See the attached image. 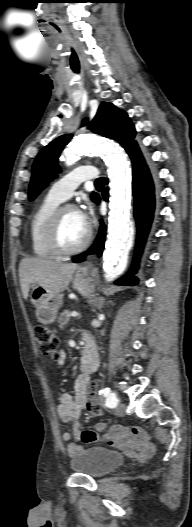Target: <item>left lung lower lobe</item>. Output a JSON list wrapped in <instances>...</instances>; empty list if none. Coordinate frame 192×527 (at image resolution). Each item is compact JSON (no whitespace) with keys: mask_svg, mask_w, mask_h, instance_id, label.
<instances>
[{"mask_svg":"<svg viewBox=\"0 0 192 527\" xmlns=\"http://www.w3.org/2000/svg\"><path fill=\"white\" fill-rule=\"evenodd\" d=\"M133 166V193H134V216L137 222L138 236L135 250V261L129 273L115 282L117 285H136L138 279L133 275L138 267L137 259L142 252L146 236L148 234L155 206L154 186L149 169L138 148L134 145L128 152ZM105 200L108 198V189L103 192ZM99 201V196L97 201ZM105 225H101L100 232L95 243L85 253L73 258L75 263L82 262L85 254L101 252L105 241Z\"/></svg>","mask_w":192,"mask_h":527,"instance_id":"left-lung-lower-lobe-1","label":"left lung lower lobe"}]
</instances>
